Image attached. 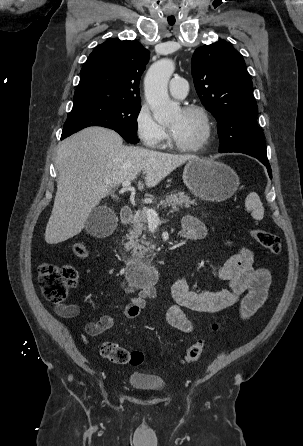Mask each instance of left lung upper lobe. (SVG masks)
Returning a JSON list of instances; mask_svg holds the SVG:
<instances>
[{"mask_svg": "<svg viewBox=\"0 0 303 446\" xmlns=\"http://www.w3.org/2000/svg\"><path fill=\"white\" fill-rule=\"evenodd\" d=\"M192 76L202 103L217 120L219 152L267 157L252 81L241 54L224 41L199 47L192 57Z\"/></svg>", "mask_w": 303, "mask_h": 446, "instance_id": "5c2ea615", "label": "left lung upper lobe"}]
</instances>
